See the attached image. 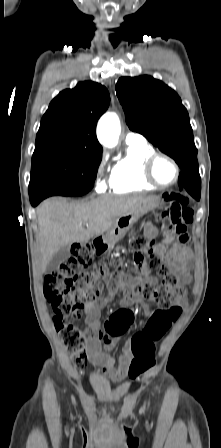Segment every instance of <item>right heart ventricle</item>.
<instances>
[{"label":"right heart ventricle","instance_id":"obj_1","mask_svg":"<svg viewBox=\"0 0 221 448\" xmlns=\"http://www.w3.org/2000/svg\"><path fill=\"white\" fill-rule=\"evenodd\" d=\"M154 152L147 142L128 144L125 155L112 168L110 190L114 193H130L156 188L144 177L145 160Z\"/></svg>","mask_w":221,"mask_h":448}]
</instances>
